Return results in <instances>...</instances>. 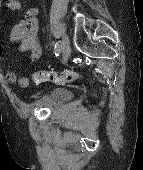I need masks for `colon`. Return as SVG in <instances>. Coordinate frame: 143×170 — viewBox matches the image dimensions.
I'll return each mask as SVG.
<instances>
[{
  "instance_id": "obj_1",
  "label": "colon",
  "mask_w": 143,
  "mask_h": 170,
  "mask_svg": "<svg viewBox=\"0 0 143 170\" xmlns=\"http://www.w3.org/2000/svg\"><path fill=\"white\" fill-rule=\"evenodd\" d=\"M7 0H0V5L6 3ZM79 78V74L74 70L52 71L43 70L34 73L33 80L36 83L54 82L57 84L73 82ZM27 81L23 80L21 86L26 87Z\"/></svg>"
}]
</instances>
